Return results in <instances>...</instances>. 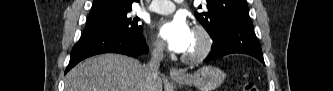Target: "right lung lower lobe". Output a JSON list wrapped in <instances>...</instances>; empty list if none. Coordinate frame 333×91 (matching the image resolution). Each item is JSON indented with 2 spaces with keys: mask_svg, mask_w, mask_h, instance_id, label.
Wrapping results in <instances>:
<instances>
[{
  "mask_svg": "<svg viewBox=\"0 0 333 91\" xmlns=\"http://www.w3.org/2000/svg\"><path fill=\"white\" fill-rule=\"evenodd\" d=\"M148 47L142 35H131L122 31L85 30L74 46L67 73L81 60L102 53H120L139 56L146 53Z\"/></svg>",
  "mask_w": 333,
  "mask_h": 91,
  "instance_id": "right-lung-lower-lobe-1",
  "label": "right lung lower lobe"
}]
</instances>
